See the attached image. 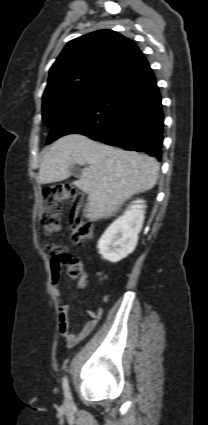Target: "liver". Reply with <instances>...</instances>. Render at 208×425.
Instances as JSON below:
<instances>
[{
	"mask_svg": "<svg viewBox=\"0 0 208 425\" xmlns=\"http://www.w3.org/2000/svg\"><path fill=\"white\" fill-rule=\"evenodd\" d=\"M88 163L73 185L88 195L84 216L90 220L111 217L133 195L152 189L160 169L156 159L148 155L69 134L55 141L43 155L38 182L65 180L71 175V167Z\"/></svg>",
	"mask_w": 208,
	"mask_h": 425,
	"instance_id": "1",
	"label": "liver"
}]
</instances>
